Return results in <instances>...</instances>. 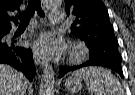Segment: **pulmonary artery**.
I'll use <instances>...</instances> for the list:
<instances>
[{
    "label": "pulmonary artery",
    "mask_w": 135,
    "mask_h": 95,
    "mask_svg": "<svg viewBox=\"0 0 135 95\" xmlns=\"http://www.w3.org/2000/svg\"><path fill=\"white\" fill-rule=\"evenodd\" d=\"M63 19V14L59 10H52L50 12V22L53 24H60Z\"/></svg>",
    "instance_id": "obj_1"
}]
</instances>
